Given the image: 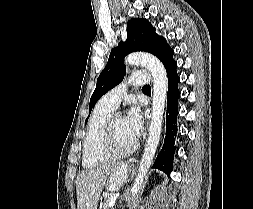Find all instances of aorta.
<instances>
[{
  "mask_svg": "<svg viewBox=\"0 0 253 209\" xmlns=\"http://www.w3.org/2000/svg\"><path fill=\"white\" fill-rule=\"evenodd\" d=\"M126 63L130 66H144L151 72L153 77L152 117L138 174L131 189V202L129 204L131 209L136 197L138 196V193L141 190L158 148L162 130V120L167 95L168 80L163 64L153 55L147 53H133L126 58Z\"/></svg>",
  "mask_w": 253,
  "mask_h": 209,
  "instance_id": "obj_1",
  "label": "aorta"
}]
</instances>
